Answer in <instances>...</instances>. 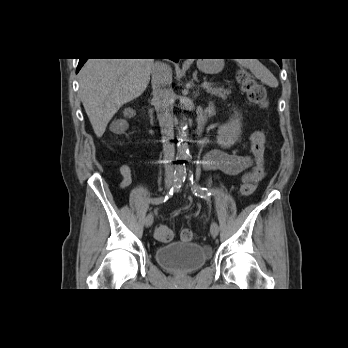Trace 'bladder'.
<instances>
[{
	"instance_id": "obj_1",
	"label": "bladder",
	"mask_w": 348,
	"mask_h": 348,
	"mask_svg": "<svg viewBox=\"0 0 348 348\" xmlns=\"http://www.w3.org/2000/svg\"><path fill=\"white\" fill-rule=\"evenodd\" d=\"M159 264L175 274L186 275L200 268L211 251L197 243L172 242L156 248Z\"/></svg>"
}]
</instances>
